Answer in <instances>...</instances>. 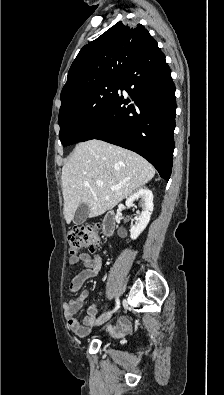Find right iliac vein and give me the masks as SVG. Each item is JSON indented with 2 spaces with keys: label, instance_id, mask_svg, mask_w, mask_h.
<instances>
[{
  "label": "right iliac vein",
  "instance_id": "1",
  "mask_svg": "<svg viewBox=\"0 0 224 395\" xmlns=\"http://www.w3.org/2000/svg\"><path fill=\"white\" fill-rule=\"evenodd\" d=\"M110 317H111L110 314H106V315L100 316V317L96 320L95 325H96V326H100V325L104 324L105 322H107V321L110 319Z\"/></svg>",
  "mask_w": 224,
  "mask_h": 395
}]
</instances>
